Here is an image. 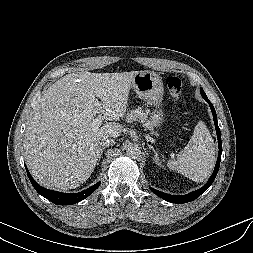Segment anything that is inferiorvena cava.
I'll use <instances>...</instances> for the list:
<instances>
[{"label": "inferior vena cava", "mask_w": 253, "mask_h": 253, "mask_svg": "<svg viewBox=\"0 0 253 253\" xmlns=\"http://www.w3.org/2000/svg\"><path fill=\"white\" fill-rule=\"evenodd\" d=\"M114 143L115 142H114L113 138H111V137H103L100 140V145L101 146L113 145Z\"/></svg>", "instance_id": "602c4592"}]
</instances>
